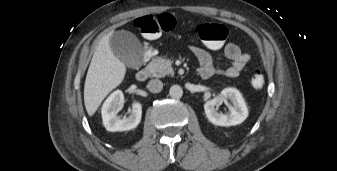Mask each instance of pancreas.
Wrapping results in <instances>:
<instances>
[{"label":"pancreas","mask_w":337,"mask_h":171,"mask_svg":"<svg viewBox=\"0 0 337 171\" xmlns=\"http://www.w3.org/2000/svg\"><path fill=\"white\" fill-rule=\"evenodd\" d=\"M172 63L173 61L170 59L157 57L149 63L148 68L152 71L153 76L164 77L165 75L174 73Z\"/></svg>","instance_id":"1"}]
</instances>
